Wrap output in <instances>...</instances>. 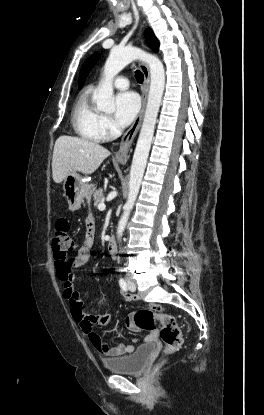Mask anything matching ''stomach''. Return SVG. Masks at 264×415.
<instances>
[{
	"label": "stomach",
	"instance_id": "obj_1",
	"mask_svg": "<svg viewBox=\"0 0 264 415\" xmlns=\"http://www.w3.org/2000/svg\"><path fill=\"white\" fill-rule=\"evenodd\" d=\"M94 189V185L87 183L79 174L69 172L63 184L69 210H79L84 199H90Z\"/></svg>",
	"mask_w": 264,
	"mask_h": 415
}]
</instances>
